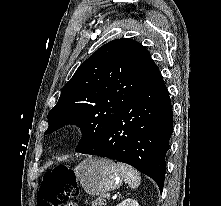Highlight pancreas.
<instances>
[{
    "label": "pancreas",
    "mask_w": 221,
    "mask_h": 206,
    "mask_svg": "<svg viewBox=\"0 0 221 206\" xmlns=\"http://www.w3.org/2000/svg\"><path fill=\"white\" fill-rule=\"evenodd\" d=\"M106 202V196L100 195L97 199L92 201V206H104Z\"/></svg>",
    "instance_id": "obj_1"
}]
</instances>
